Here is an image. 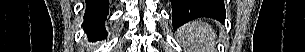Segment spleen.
I'll use <instances>...</instances> for the list:
<instances>
[{"mask_svg":"<svg viewBox=\"0 0 305 52\" xmlns=\"http://www.w3.org/2000/svg\"><path fill=\"white\" fill-rule=\"evenodd\" d=\"M178 33L189 52H216L215 31L201 19L186 23Z\"/></svg>","mask_w":305,"mask_h":52,"instance_id":"obj_1","label":"spleen"}]
</instances>
